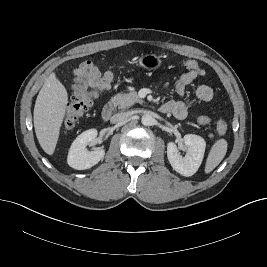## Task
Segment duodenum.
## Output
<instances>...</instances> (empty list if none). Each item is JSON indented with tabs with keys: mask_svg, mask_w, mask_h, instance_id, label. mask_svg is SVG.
<instances>
[{
	"mask_svg": "<svg viewBox=\"0 0 267 267\" xmlns=\"http://www.w3.org/2000/svg\"><path fill=\"white\" fill-rule=\"evenodd\" d=\"M160 110L162 112L166 111V108L164 105H162L160 107ZM115 111V103L114 102H108L104 105L103 109H102V117L104 120H109L111 118V116L113 115Z\"/></svg>",
	"mask_w": 267,
	"mask_h": 267,
	"instance_id": "1",
	"label": "duodenum"
}]
</instances>
